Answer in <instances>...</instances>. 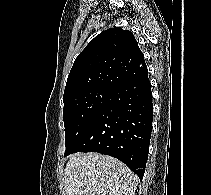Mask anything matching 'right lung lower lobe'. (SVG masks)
Returning <instances> with one entry per match:
<instances>
[{"label": "right lung lower lobe", "mask_w": 211, "mask_h": 195, "mask_svg": "<svg viewBox=\"0 0 211 195\" xmlns=\"http://www.w3.org/2000/svg\"><path fill=\"white\" fill-rule=\"evenodd\" d=\"M153 104L148 75L111 89L106 106L65 152H98L124 162L140 180L148 159Z\"/></svg>", "instance_id": "1"}]
</instances>
